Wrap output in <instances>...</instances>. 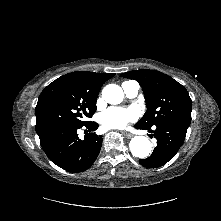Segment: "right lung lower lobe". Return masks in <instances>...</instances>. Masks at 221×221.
Wrapping results in <instances>:
<instances>
[{
  "label": "right lung lower lobe",
  "mask_w": 221,
  "mask_h": 221,
  "mask_svg": "<svg viewBox=\"0 0 221 221\" xmlns=\"http://www.w3.org/2000/svg\"><path fill=\"white\" fill-rule=\"evenodd\" d=\"M95 122L84 125L88 131L98 128ZM83 127V126H81ZM78 126H60L39 134L41 146L47 157L62 169L78 173L87 170L99 155L103 138L94 133L78 138Z\"/></svg>",
  "instance_id": "obj_1"
}]
</instances>
